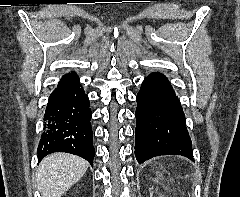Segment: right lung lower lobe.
<instances>
[{
	"label": "right lung lower lobe",
	"instance_id": "1",
	"mask_svg": "<svg viewBox=\"0 0 240 197\" xmlns=\"http://www.w3.org/2000/svg\"><path fill=\"white\" fill-rule=\"evenodd\" d=\"M88 96L74 72L62 77L51 93L38 145V160L54 152L78 155L93 165L95 149Z\"/></svg>",
	"mask_w": 240,
	"mask_h": 197
}]
</instances>
